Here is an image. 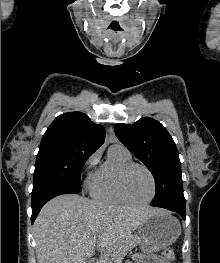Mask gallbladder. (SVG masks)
Instances as JSON below:
<instances>
[{"instance_id":"1","label":"gallbladder","mask_w":220,"mask_h":263,"mask_svg":"<svg viewBox=\"0 0 220 263\" xmlns=\"http://www.w3.org/2000/svg\"><path fill=\"white\" fill-rule=\"evenodd\" d=\"M85 263H90V261L89 260H86V262Z\"/></svg>"}]
</instances>
